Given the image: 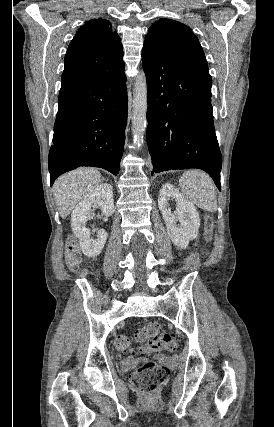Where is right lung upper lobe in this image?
<instances>
[{
  "mask_svg": "<svg viewBox=\"0 0 274 427\" xmlns=\"http://www.w3.org/2000/svg\"><path fill=\"white\" fill-rule=\"evenodd\" d=\"M123 46L109 21H86L71 41L65 56L61 91L85 84L124 63Z\"/></svg>",
  "mask_w": 274,
  "mask_h": 427,
  "instance_id": "cb5924a9",
  "label": "right lung upper lobe"
}]
</instances>
